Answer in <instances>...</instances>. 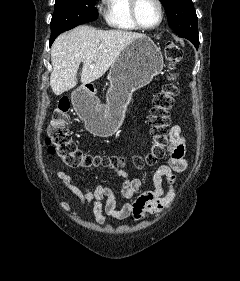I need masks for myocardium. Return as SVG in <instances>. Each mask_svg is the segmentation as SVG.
<instances>
[{
	"label": "myocardium",
	"instance_id": "1",
	"mask_svg": "<svg viewBox=\"0 0 240 281\" xmlns=\"http://www.w3.org/2000/svg\"><path fill=\"white\" fill-rule=\"evenodd\" d=\"M158 6L159 9V20L155 25L152 26H146L144 24L141 23L139 16H138V5L140 0H131L130 3V14H131V18L132 21L134 22V24L142 30H154L157 29L163 22L164 20V16H165V11H164V5L163 2L161 0H154Z\"/></svg>",
	"mask_w": 240,
	"mask_h": 281
}]
</instances>
